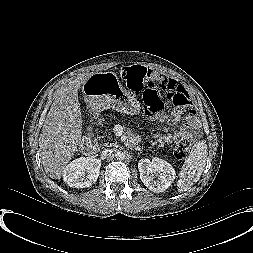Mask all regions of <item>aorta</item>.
<instances>
[{
	"mask_svg": "<svg viewBox=\"0 0 253 253\" xmlns=\"http://www.w3.org/2000/svg\"><path fill=\"white\" fill-rule=\"evenodd\" d=\"M124 157H125V154H124L123 152H118V153L116 154V158H117L118 160H122V159H124Z\"/></svg>",
	"mask_w": 253,
	"mask_h": 253,
	"instance_id": "obj_1",
	"label": "aorta"
}]
</instances>
